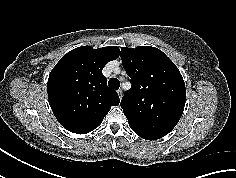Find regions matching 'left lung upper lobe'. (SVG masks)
<instances>
[{"instance_id":"5c2ea615","label":"left lung upper lobe","mask_w":236,"mask_h":178,"mask_svg":"<svg viewBox=\"0 0 236 178\" xmlns=\"http://www.w3.org/2000/svg\"><path fill=\"white\" fill-rule=\"evenodd\" d=\"M120 56L132 83L121 100L131 129L165 136L176 126L185 106V83L180 71L155 47H123Z\"/></svg>"}]
</instances>
